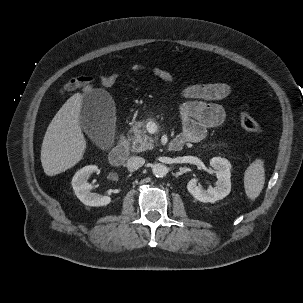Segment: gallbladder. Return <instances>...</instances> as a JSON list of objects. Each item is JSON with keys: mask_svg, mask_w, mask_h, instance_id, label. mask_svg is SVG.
<instances>
[{"mask_svg": "<svg viewBox=\"0 0 303 303\" xmlns=\"http://www.w3.org/2000/svg\"><path fill=\"white\" fill-rule=\"evenodd\" d=\"M115 104L110 94L95 89L83 94L80 124L89 138L100 147H105L113 137Z\"/></svg>", "mask_w": 303, "mask_h": 303, "instance_id": "bac80fb5", "label": "gallbladder"}]
</instances>
